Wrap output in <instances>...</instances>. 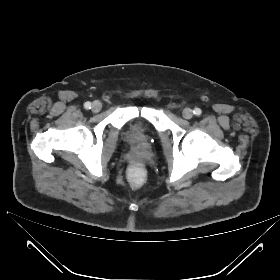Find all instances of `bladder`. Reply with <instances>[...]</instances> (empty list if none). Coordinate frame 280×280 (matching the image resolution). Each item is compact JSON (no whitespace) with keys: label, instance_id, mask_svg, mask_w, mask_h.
I'll list each match as a JSON object with an SVG mask.
<instances>
[{"label":"bladder","instance_id":"bladder-1","mask_svg":"<svg viewBox=\"0 0 280 280\" xmlns=\"http://www.w3.org/2000/svg\"><path fill=\"white\" fill-rule=\"evenodd\" d=\"M123 139L137 149L148 146L155 137L152 124L146 119L135 117L126 121L123 131Z\"/></svg>","mask_w":280,"mask_h":280}]
</instances>
